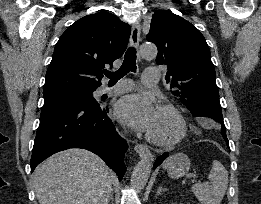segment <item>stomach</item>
I'll list each match as a JSON object with an SVG mask.
<instances>
[{
  "label": "stomach",
  "mask_w": 261,
  "mask_h": 204,
  "mask_svg": "<svg viewBox=\"0 0 261 204\" xmlns=\"http://www.w3.org/2000/svg\"><path fill=\"white\" fill-rule=\"evenodd\" d=\"M164 169L172 178L182 177L190 169V159L183 153L174 154L165 162Z\"/></svg>",
  "instance_id": "0dacf381"
}]
</instances>
